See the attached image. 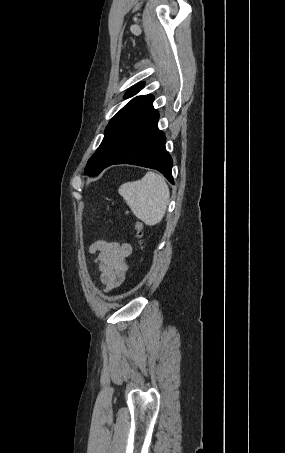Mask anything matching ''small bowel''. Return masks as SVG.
Returning <instances> with one entry per match:
<instances>
[{
	"instance_id": "obj_1",
	"label": "small bowel",
	"mask_w": 285,
	"mask_h": 453,
	"mask_svg": "<svg viewBox=\"0 0 285 453\" xmlns=\"http://www.w3.org/2000/svg\"><path fill=\"white\" fill-rule=\"evenodd\" d=\"M90 252L97 254V272L105 290L120 286L128 271L127 257L132 253L131 245L98 240L91 245Z\"/></svg>"
}]
</instances>
